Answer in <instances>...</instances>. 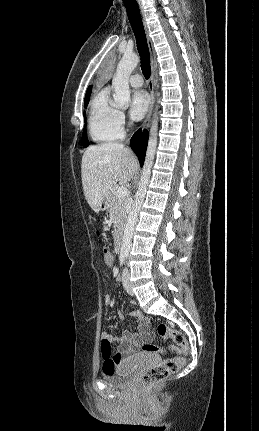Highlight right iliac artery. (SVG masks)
I'll list each match as a JSON object with an SVG mask.
<instances>
[{
    "label": "right iliac artery",
    "instance_id": "1",
    "mask_svg": "<svg viewBox=\"0 0 259 431\" xmlns=\"http://www.w3.org/2000/svg\"><path fill=\"white\" fill-rule=\"evenodd\" d=\"M125 260V255L120 256V265L122 266Z\"/></svg>",
    "mask_w": 259,
    "mask_h": 431
}]
</instances>
